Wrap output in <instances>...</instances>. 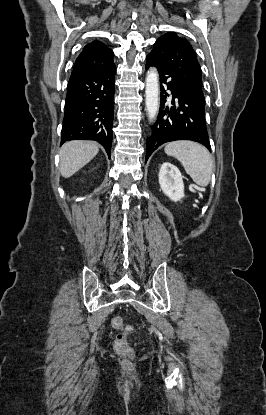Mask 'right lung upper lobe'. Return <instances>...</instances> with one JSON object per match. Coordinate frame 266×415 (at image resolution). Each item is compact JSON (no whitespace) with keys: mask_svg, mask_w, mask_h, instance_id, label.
I'll use <instances>...</instances> for the list:
<instances>
[{"mask_svg":"<svg viewBox=\"0 0 266 415\" xmlns=\"http://www.w3.org/2000/svg\"><path fill=\"white\" fill-rule=\"evenodd\" d=\"M113 55L112 50L102 42L88 43L76 59L70 79L89 76L110 68L114 64Z\"/></svg>","mask_w":266,"mask_h":415,"instance_id":"right-lung-upper-lobe-1","label":"right lung upper lobe"}]
</instances>
